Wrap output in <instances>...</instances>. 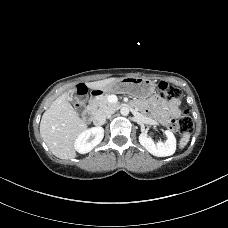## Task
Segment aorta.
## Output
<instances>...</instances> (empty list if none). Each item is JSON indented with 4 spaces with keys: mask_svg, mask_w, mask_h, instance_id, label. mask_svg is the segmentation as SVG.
Instances as JSON below:
<instances>
[{
    "mask_svg": "<svg viewBox=\"0 0 228 228\" xmlns=\"http://www.w3.org/2000/svg\"><path fill=\"white\" fill-rule=\"evenodd\" d=\"M120 113L123 115V116H127L129 114V108L126 107V106H123L121 109H120Z\"/></svg>",
    "mask_w": 228,
    "mask_h": 228,
    "instance_id": "762f6f07",
    "label": "aorta"
}]
</instances>
